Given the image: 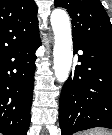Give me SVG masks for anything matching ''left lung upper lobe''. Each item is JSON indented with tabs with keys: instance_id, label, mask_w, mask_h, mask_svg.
I'll use <instances>...</instances> for the list:
<instances>
[{
	"instance_id": "left-lung-upper-lobe-1",
	"label": "left lung upper lobe",
	"mask_w": 112,
	"mask_h": 135,
	"mask_svg": "<svg viewBox=\"0 0 112 135\" xmlns=\"http://www.w3.org/2000/svg\"><path fill=\"white\" fill-rule=\"evenodd\" d=\"M72 18L73 41L112 47V26L99 0H55Z\"/></svg>"
}]
</instances>
